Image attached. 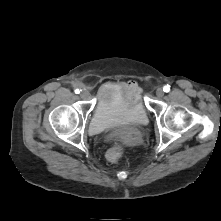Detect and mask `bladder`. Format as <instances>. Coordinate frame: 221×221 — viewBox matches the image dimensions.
<instances>
[{"mask_svg": "<svg viewBox=\"0 0 221 221\" xmlns=\"http://www.w3.org/2000/svg\"><path fill=\"white\" fill-rule=\"evenodd\" d=\"M147 120V111L138 94L126 100L117 87L104 88L99 93L89 129L100 134L122 125H144Z\"/></svg>", "mask_w": 221, "mask_h": 221, "instance_id": "31cf9c89", "label": "bladder"}]
</instances>
